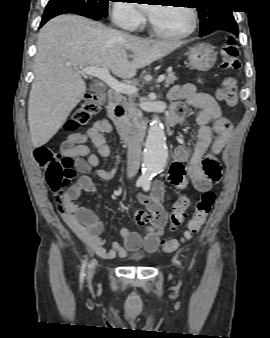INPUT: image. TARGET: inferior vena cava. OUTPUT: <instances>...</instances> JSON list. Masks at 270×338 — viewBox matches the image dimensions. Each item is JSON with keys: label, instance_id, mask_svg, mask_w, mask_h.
I'll list each match as a JSON object with an SVG mask.
<instances>
[{"label": "inferior vena cava", "instance_id": "inferior-vena-cava-1", "mask_svg": "<svg viewBox=\"0 0 270 338\" xmlns=\"http://www.w3.org/2000/svg\"><path fill=\"white\" fill-rule=\"evenodd\" d=\"M141 140L136 133H131L127 151V175L133 177L138 172L141 163Z\"/></svg>", "mask_w": 270, "mask_h": 338}]
</instances>
